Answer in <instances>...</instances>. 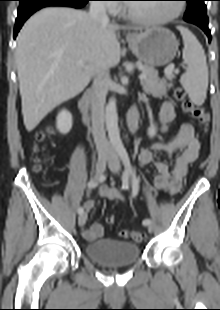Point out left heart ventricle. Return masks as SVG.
Here are the masks:
<instances>
[{"instance_id": "left-heart-ventricle-1", "label": "left heart ventricle", "mask_w": 220, "mask_h": 310, "mask_svg": "<svg viewBox=\"0 0 220 310\" xmlns=\"http://www.w3.org/2000/svg\"><path fill=\"white\" fill-rule=\"evenodd\" d=\"M176 4H129L128 9L137 15L159 19L172 14Z\"/></svg>"}]
</instances>
